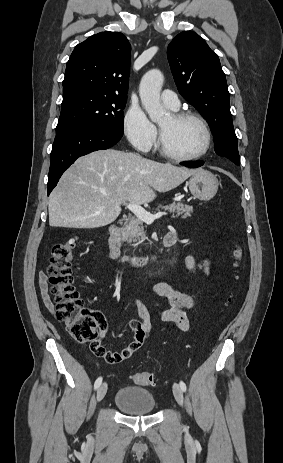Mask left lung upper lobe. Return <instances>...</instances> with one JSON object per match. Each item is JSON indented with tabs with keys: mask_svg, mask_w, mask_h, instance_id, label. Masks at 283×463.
Instances as JSON below:
<instances>
[{
	"mask_svg": "<svg viewBox=\"0 0 283 463\" xmlns=\"http://www.w3.org/2000/svg\"><path fill=\"white\" fill-rule=\"evenodd\" d=\"M167 56L178 91L207 119L216 154L239 165L230 97L217 54L198 34L184 31L171 41Z\"/></svg>",
	"mask_w": 283,
	"mask_h": 463,
	"instance_id": "obj_1",
	"label": "left lung upper lobe"
}]
</instances>
